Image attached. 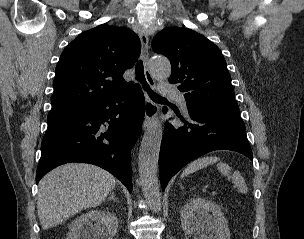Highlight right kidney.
<instances>
[{
	"label": "right kidney",
	"instance_id": "obj_1",
	"mask_svg": "<svg viewBox=\"0 0 304 239\" xmlns=\"http://www.w3.org/2000/svg\"><path fill=\"white\" fill-rule=\"evenodd\" d=\"M85 225H89V231L84 230ZM117 229L118 220L113 213L91 210L72 222L66 239H106L108 236H114Z\"/></svg>",
	"mask_w": 304,
	"mask_h": 239
}]
</instances>
